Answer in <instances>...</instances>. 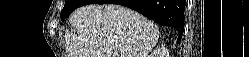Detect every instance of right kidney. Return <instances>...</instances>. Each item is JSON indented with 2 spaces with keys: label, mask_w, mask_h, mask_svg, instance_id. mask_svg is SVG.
I'll return each mask as SVG.
<instances>
[{
  "label": "right kidney",
  "mask_w": 249,
  "mask_h": 57,
  "mask_svg": "<svg viewBox=\"0 0 249 57\" xmlns=\"http://www.w3.org/2000/svg\"><path fill=\"white\" fill-rule=\"evenodd\" d=\"M155 57H162L164 55L163 52L161 51H157L156 53H154Z\"/></svg>",
  "instance_id": "ca27d5eb"
}]
</instances>
